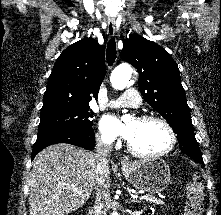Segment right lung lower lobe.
I'll return each instance as SVG.
<instances>
[{
	"mask_svg": "<svg viewBox=\"0 0 221 215\" xmlns=\"http://www.w3.org/2000/svg\"><path fill=\"white\" fill-rule=\"evenodd\" d=\"M56 143H68L92 150L95 147V134L92 128L85 130H66L38 135L34 144L32 159L45 147Z\"/></svg>",
	"mask_w": 221,
	"mask_h": 215,
	"instance_id": "98d812e1",
	"label": "right lung lower lobe"
}]
</instances>
